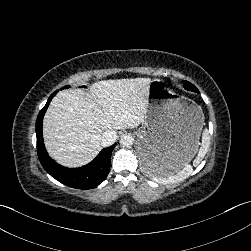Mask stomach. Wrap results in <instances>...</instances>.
Returning <instances> with one entry per match:
<instances>
[{
    "instance_id": "obj_1",
    "label": "stomach",
    "mask_w": 251,
    "mask_h": 251,
    "mask_svg": "<svg viewBox=\"0 0 251 251\" xmlns=\"http://www.w3.org/2000/svg\"><path fill=\"white\" fill-rule=\"evenodd\" d=\"M146 99L137 152L143 171L163 178L179 171L194 156L205 118L200 105L177 93L163 78L151 79Z\"/></svg>"
}]
</instances>
